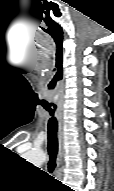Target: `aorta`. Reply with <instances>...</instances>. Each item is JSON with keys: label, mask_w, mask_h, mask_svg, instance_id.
Here are the masks:
<instances>
[{"label": "aorta", "mask_w": 114, "mask_h": 191, "mask_svg": "<svg viewBox=\"0 0 114 191\" xmlns=\"http://www.w3.org/2000/svg\"><path fill=\"white\" fill-rule=\"evenodd\" d=\"M27 161L32 162L35 165H40L44 162L45 156L40 151L32 150L26 155Z\"/></svg>", "instance_id": "762f6f07"}]
</instances>
